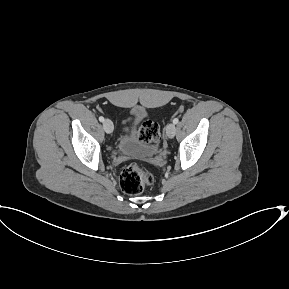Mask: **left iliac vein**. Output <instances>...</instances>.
I'll return each mask as SVG.
<instances>
[{
  "label": "left iliac vein",
  "mask_w": 289,
  "mask_h": 289,
  "mask_svg": "<svg viewBox=\"0 0 289 289\" xmlns=\"http://www.w3.org/2000/svg\"><path fill=\"white\" fill-rule=\"evenodd\" d=\"M166 134L169 138H173L176 134V126L174 123H170L166 127Z\"/></svg>",
  "instance_id": "4c4485c4"
}]
</instances>
